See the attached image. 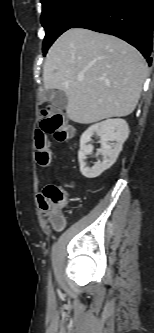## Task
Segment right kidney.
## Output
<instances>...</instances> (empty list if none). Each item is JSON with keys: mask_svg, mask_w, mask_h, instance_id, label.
<instances>
[{"mask_svg": "<svg viewBox=\"0 0 154 333\" xmlns=\"http://www.w3.org/2000/svg\"><path fill=\"white\" fill-rule=\"evenodd\" d=\"M95 134L100 137V153L103 156V160L89 167L85 160L86 156L90 155L93 151V146L89 142ZM128 135L129 126L123 119H107L90 126L80 138L78 160L82 175L90 179L96 178L109 169L116 162Z\"/></svg>", "mask_w": 154, "mask_h": 333, "instance_id": "obj_1", "label": "right kidney"}]
</instances>
